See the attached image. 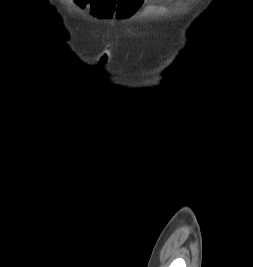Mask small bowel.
I'll return each mask as SVG.
<instances>
[{"mask_svg": "<svg viewBox=\"0 0 253 267\" xmlns=\"http://www.w3.org/2000/svg\"><path fill=\"white\" fill-rule=\"evenodd\" d=\"M146 1L151 0H75L78 6H88L90 12L102 19L130 16L137 12ZM160 7L148 4L143 13L159 10Z\"/></svg>", "mask_w": 253, "mask_h": 267, "instance_id": "c3829d8e", "label": "small bowel"}]
</instances>
